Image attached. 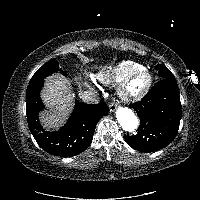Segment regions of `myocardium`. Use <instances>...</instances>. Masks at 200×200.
<instances>
[{
  "label": "myocardium",
  "mask_w": 200,
  "mask_h": 200,
  "mask_svg": "<svg viewBox=\"0 0 200 200\" xmlns=\"http://www.w3.org/2000/svg\"><path fill=\"white\" fill-rule=\"evenodd\" d=\"M141 74H145L147 76V82H146L145 86L139 92L131 93L129 91L130 83L137 76H139ZM152 82H153V78H152V75L150 74V72L148 70H146L145 68H142L138 71L133 72L123 82H121L119 84L118 89H117V95L124 102H127V103L137 102V101L143 99L148 94V92L151 89Z\"/></svg>",
  "instance_id": "myocardium-1"
}]
</instances>
